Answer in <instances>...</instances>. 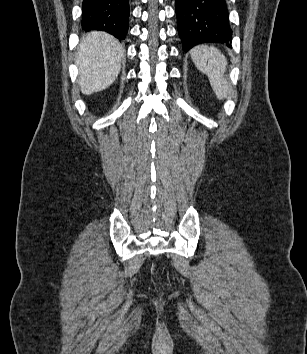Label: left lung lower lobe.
Masks as SVG:
<instances>
[{"mask_svg":"<svg viewBox=\"0 0 307 354\" xmlns=\"http://www.w3.org/2000/svg\"><path fill=\"white\" fill-rule=\"evenodd\" d=\"M178 33L183 50L204 42L232 40L226 0H175Z\"/></svg>","mask_w":307,"mask_h":354,"instance_id":"0a47b994","label":"left lung lower lobe"}]
</instances>
